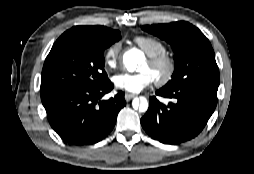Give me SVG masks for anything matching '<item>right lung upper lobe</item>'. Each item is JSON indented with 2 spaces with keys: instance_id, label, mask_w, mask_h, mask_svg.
<instances>
[{
  "instance_id": "1",
  "label": "right lung upper lobe",
  "mask_w": 254,
  "mask_h": 174,
  "mask_svg": "<svg viewBox=\"0 0 254 174\" xmlns=\"http://www.w3.org/2000/svg\"><path fill=\"white\" fill-rule=\"evenodd\" d=\"M117 32L104 26H75L65 33H74L93 40H103Z\"/></svg>"
}]
</instances>
